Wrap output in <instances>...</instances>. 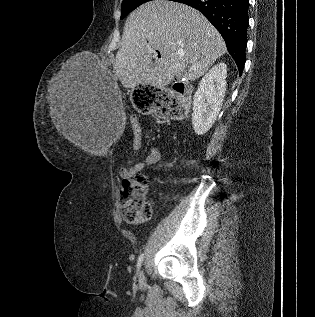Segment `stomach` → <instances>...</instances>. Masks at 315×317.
<instances>
[{"label": "stomach", "mask_w": 315, "mask_h": 317, "mask_svg": "<svg viewBox=\"0 0 315 317\" xmlns=\"http://www.w3.org/2000/svg\"><path fill=\"white\" fill-rule=\"evenodd\" d=\"M134 95V104L136 111L140 114H151V111H157V97H149V95H161V88H154L153 84H137L136 88H132Z\"/></svg>", "instance_id": "1"}]
</instances>
